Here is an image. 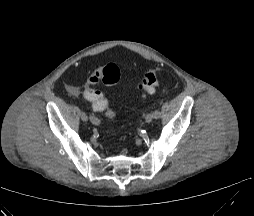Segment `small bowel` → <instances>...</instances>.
<instances>
[{"label": "small bowel", "mask_w": 254, "mask_h": 216, "mask_svg": "<svg viewBox=\"0 0 254 216\" xmlns=\"http://www.w3.org/2000/svg\"><path fill=\"white\" fill-rule=\"evenodd\" d=\"M66 89H67L68 93L73 95V96H78L80 94V90L77 87H75V86L68 85L66 87ZM93 108H94L95 111H102V110H104L103 108H99V107H95V106H93Z\"/></svg>", "instance_id": "c3829d8e"}]
</instances>
